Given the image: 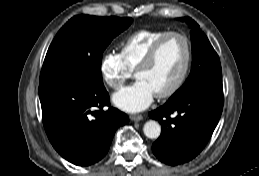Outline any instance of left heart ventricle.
<instances>
[{
    "label": "left heart ventricle",
    "instance_id": "obj_1",
    "mask_svg": "<svg viewBox=\"0 0 259 176\" xmlns=\"http://www.w3.org/2000/svg\"><path fill=\"white\" fill-rule=\"evenodd\" d=\"M186 48L179 37L168 38L161 46L155 61L136 74L137 80L146 82L155 92L167 90L179 76L185 62Z\"/></svg>",
    "mask_w": 259,
    "mask_h": 176
}]
</instances>
